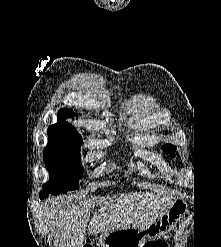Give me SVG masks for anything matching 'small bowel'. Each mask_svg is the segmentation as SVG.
Listing matches in <instances>:
<instances>
[{"label": "small bowel", "instance_id": "obj_1", "mask_svg": "<svg viewBox=\"0 0 221 247\" xmlns=\"http://www.w3.org/2000/svg\"><path fill=\"white\" fill-rule=\"evenodd\" d=\"M150 242L154 243L156 245L155 247H168L167 244L165 242H162V241H150Z\"/></svg>", "mask_w": 221, "mask_h": 247}]
</instances>
